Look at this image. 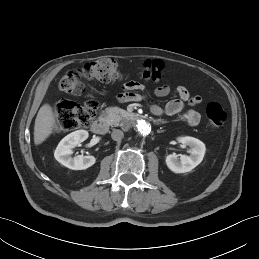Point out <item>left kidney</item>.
Here are the masks:
<instances>
[{
    "instance_id": "1",
    "label": "left kidney",
    "mask_w": 259,
    "mask_h": 259,
    "mask_svg": "<svg viewBox=\"0 0 259 259\" xmlns=\"http://www.w3.org/2000/svg\"><path fill=\"white\" fill-rule=\"evenodd\" d=\"M178 141L190 147V155H180L178 158L176 154H170L166 157V165L174 173H186L202 162L206 147L202 141L194 137H180Z\"/></svg>"
}]
</instances>
